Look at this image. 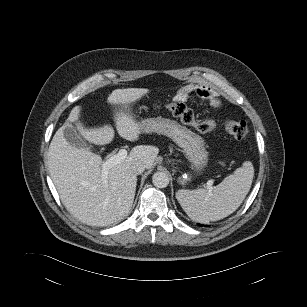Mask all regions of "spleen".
Instances as JSON below:
<instances>
[{
	"label": "spleen",
	"mask_w": 307,
	"mask_h": 307,
	"mask_svg": "<svg viewBox=\"0 0 307 307\" xmlns=\"http://www.w3.org/2000/svg\"><path fill=\"white\" fill-rule=\"evenodd\" d=\"M254 177L250 161L243 163L233 174L211 189L185 190L176 192V199L194 221L207 223L232 214L248 194Z\"/></svg>",
	"instance_id": "1"
}]
</instances>
